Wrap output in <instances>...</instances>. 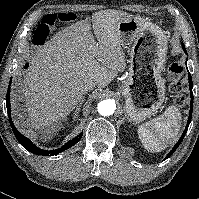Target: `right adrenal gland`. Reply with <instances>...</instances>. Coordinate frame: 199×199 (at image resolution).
Here are the masks:
<instances>
[{"mask_svg":"<svg viewBox=\"0 0 199 199\" xmlns=\"http://www.w3.org/2000/svg\"><path fill=\"white\" fill-rule=\"evenodd\" d=\"M83 101H84V99L81 100V102L79 103L78 107L76 108L75 113H74L75 116H77V114L79 113L80 107H81V104H82Z\"/></svg>","mask_w":199,"mask_h":199,"instance_id":"right-adrenal-gland-1","label":"right adrenal gland"}]
</instances>
